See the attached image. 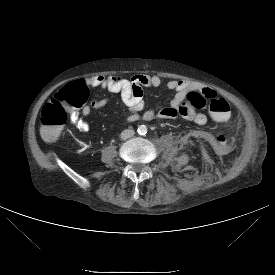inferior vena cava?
<instances>
[{
  "label": "inferior vena cava",
  "mask_w": 275,
  "mask_h": 275,
  "mask_svg": "<svg viewBox=\"0 0 275 275\" xmlns=\"http://www.w3.org/2000/svg\"><path fill=\"white\" fill-rule=\"evenodd\" d=\"M134 134H135L134 130L126 129V130L122 131L121 139L126 140L128 138H131Z\"/></svg>",
  "instance_id": "inferior-vena-cava-1"
}]
</instances>
